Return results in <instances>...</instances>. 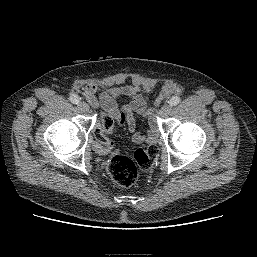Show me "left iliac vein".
Returning a JSON list of instances; mask_svg holds the SVG:
<instances>
[{
	"label": "left iliac vein",
	"mask_w": 257,
	"mask_h": 257,
	"mask_svg": "<svg viewBox=\"0 0 257 257\" xmlns=\"http://www.w3.org/2000/svg\"><path fill=\"white\" fill-rule=\"evenodd\" d=\"M171 109H172L171 105H169V104L164 105V106L160 109V112H159L160 116H161V117H166V116H168L169 113H170V111H171Z\"/></svg>",
	"instance_id": "left-iliac-vein-1"
}]
</instances>
